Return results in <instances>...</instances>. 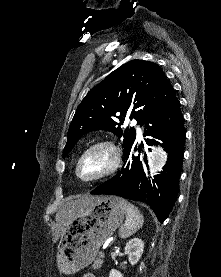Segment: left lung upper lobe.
<instances>
[{"label": "left lung upper lobe", "instance_id": "obj_1", "mask_svg": "<svg viewBox=\"0 0 221 277\" xmlns=\"http://www.w3.org/2000/svg\"><path fill=\"white\" fill-rule=\"evenodd\" d=\"M175 94L159 65L143 60L129 61L93 87L78 106L68 130L63 158L77 141L93 130H109L123 137L124 156L135 142L134 128L121 129L125 117L140 126Z\"/></svg>", "mask_w": 221, "mask_h": 277}]
</instances>
